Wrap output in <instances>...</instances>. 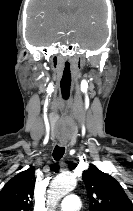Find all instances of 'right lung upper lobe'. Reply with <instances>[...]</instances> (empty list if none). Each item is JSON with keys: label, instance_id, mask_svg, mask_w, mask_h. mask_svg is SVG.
Returning <instances> with one entry per match:
<instances>
[{"label": "right lung upper lobe", "instance_id": "obj_1", "mask_svg": "<svg viewBox=\"0 0 133 211\" xmlns=\"http://www.w3.org/2000/svg\"><path fill=\"white\" fill-rule=\"evenodd\" d=\"M34 186L33 169L17 174L0 191V211H30Z\"/></svg>", "mask_w": 133, "mask_h": 211}]
</instances>
